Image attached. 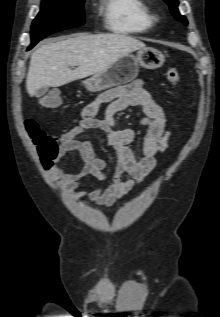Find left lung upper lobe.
Listing matches in <instances>:
<instances>
[{
  "label": "left lung upper lobe",
  "instance_id": "1",
  "mask_svg": "<svg viewBox=\"0 0 220 317\" xmlns=\"http://www.w3.org/2000/svg\"><path fill=\"white\" fill-rule=\"evenodd\" d=\"M171 9L172 14L180 21H182L185 25L188 24L186 18L182 15H180V13L178 12V0H164Z\"/></svg>",
  "mask_w": 220,
  "mask_h": 317
}]
</instances>
